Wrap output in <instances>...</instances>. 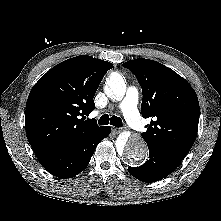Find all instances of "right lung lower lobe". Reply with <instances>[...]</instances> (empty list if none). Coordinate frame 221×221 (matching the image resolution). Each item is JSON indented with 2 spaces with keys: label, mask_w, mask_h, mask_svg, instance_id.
I'll return each instance as SVG.
<instances>
[{
  "label": "right lung lower lobe",
  "mask_w": 221,
  "mask_h": 221,
  "mask_svg": "<svg viewBox=\"0 0 221 221\" xmlns=\"http://www.w3.org/2000/svg\"><path fill=\"white\" fill-rule=\"evenodd\" d=\"M110 132V127H102L94 134L61 150L38 158V160L52 175L59 178H72L87 167L98 143L106 138Z\"/></svg>",
  "instance_id": "right-lung-lower-lobe-1"
}]
</instances>
